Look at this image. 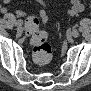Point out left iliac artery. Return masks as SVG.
Segmentation results:
<instances>
[{"label":"left iliac artery","instance_id":"44dca946","mask_svg":"<svg viewBox=\"0 0 91 91\" xmlns=\"http://www.w3.org/2000/svg\"><path fill=\"white\" fill-rule=\"evenodd\" d=\"M78 28H79V25L78 24H75V25L72 26V29L73 30H77Z\"/></svg>","mask_w":91,"mask_h":91}]
</instances>
